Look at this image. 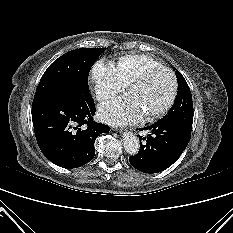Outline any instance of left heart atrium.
I'll return each instance as SVG.
<instances>
[{"instance_id":"left-heart-atrium-1","label":"left heart atrium","mask_w":233,"mask_h":233,"mask_svg":"<svg viewBox=\"0 0 233 233\" xmlns=\"http://www.w3.org/2000/svg\"><path fill=\"white\" fill-rule=\"evenodd\" d=\"M99 116L107 123L124 125L137 122L143 112L136 97L126 94L101 105Z\"/></svg>"}]
</instances>
